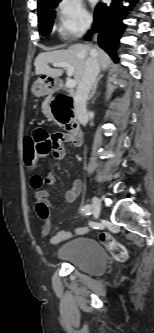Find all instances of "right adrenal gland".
<instances>
[{"label":"right adrenal gland","mask_w":154,"mask_h":333,"mask_svg":"<svg viewBox=\"0 0 154 333\" xmlns=\"http://www.w3.org/2000/svg\"><path fill=\"white\" fill-rule=\"evenodd\" d=\"M102 77H103V75L101 74V75H99L98 78L96 79L95 84H94V86H93V88H92V91H91V93H90V95H89V97H88V100H90V99L94 96V94L96 93V88H97L98 82L100 81V79H101Z\"/></svg>","instance_id":"2a0ac1e0"}]
</instances>
